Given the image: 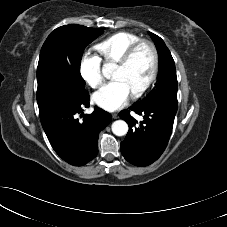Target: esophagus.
Returning <instances> with one entry per match:
<instances>
[{
    "label": "esophagus",
    "instance_id": "34e87169",
    "mask_svg": "<svg viewBox=\"0 0 227 227\" xmlns=\"http://www.w3.org/2000/svg\"><path fill=\"white\" fill-rule=\"evenodd\" d=\"M112 118H113V119H117V118H118V114H117V113H113V114H112Z\"/></svg>",
    "mask_w": 227,
    "mask_h": 227
}]
</instances>
